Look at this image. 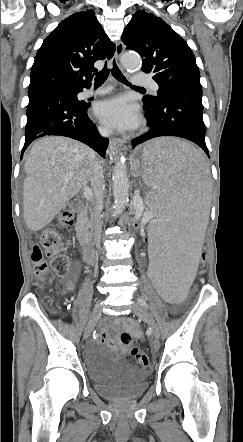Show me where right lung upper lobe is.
Returning a JSON list of instances; mask_svg holds the SVG:
<instances>
[{
    "mask_svg": "<svg viewBox=\"0 0 243 442\" xmlns=\"http://www.w3.org/2000/svg\"><path fill=\"white\" fill-rule=\"evenodd\" d=\"M115 45L105 34L93 10L64 19L43 41L30 73L28 89L59 85L73 90L89 87L94 62L111 59Z\"/></svg>",
    "mask_w": 243,
    "mask_h": 442,
    "instance_id": "right-lung-upper-lobe-1",
    "label": "right lung upper lobe"
}]
</instances>
